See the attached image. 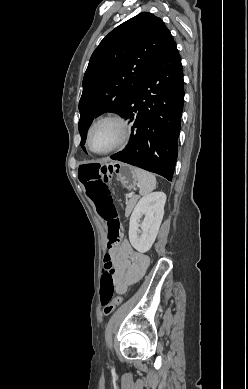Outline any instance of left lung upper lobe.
<instances>
[{"label":"left lung upper lobe","instance_id":"1","mask_svg":"<svg viewBox=\"0 0 248 389\" xmlns=\"http://www.w3.org/2000/svg\"><path fill=\"white\" fill-rule=\"evenodd\" d=\"M174 43L164 22L148 12L122 23L100 42L84 74L79 101L78 128L84 150L93 119L104 112L120 114Z\"/></svg>","mask_w":248,"mask_h":389}]
</instances>
